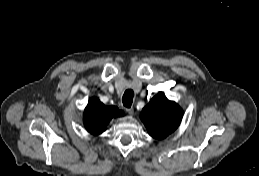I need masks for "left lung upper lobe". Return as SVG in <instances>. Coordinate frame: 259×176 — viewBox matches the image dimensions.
Wrapping results in <instances>:
<instances>
[{
  "label": "left lung upper lobe",
  "instance_id": "left-lung-upper-lobe-1",
  "mask_svg": "<svg viewBox=\"0 0 259 176\" xmlns=\"http://www.w3.org/2000/svg\"><path fill=\"white\" fill-rule=\"evenodd\" d=\"M182 115L178 104L169 101L163 93L153 97L140 113L149 135L156 139H163L177 129Z\"/></svg>",
  "mask_w": 259,
  "mask_h": 176
}]
</instances>
